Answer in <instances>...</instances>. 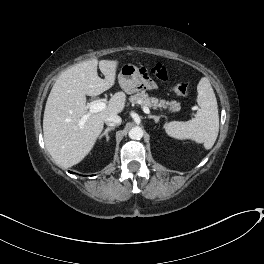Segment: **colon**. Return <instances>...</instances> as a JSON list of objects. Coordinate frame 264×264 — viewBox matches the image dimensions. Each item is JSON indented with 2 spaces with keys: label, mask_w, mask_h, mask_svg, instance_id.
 <instances>
[{
  "label": "colon",
  "mask_w": 264,
  "mask_h": 264,
  "mask_svg": "<svg viewBox=\"0 0 264 264\" xmlns=\"http://www.w3.org/2000/svg\"><path fill=\"white\" fill-rule=\"evenodd\" d=\"M152 73L155 77L160 80H168V70L166 66L162 63H156L152 69ZM174 92L180 97H186L189 93V87L186 83L178 82L173 86Z\"/></svg>",
  "instance_id": "colon-1"
}]
</instances>
